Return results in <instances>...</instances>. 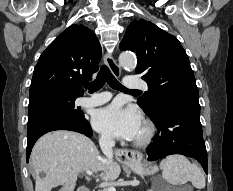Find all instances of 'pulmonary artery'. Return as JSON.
I'll return each mask as SVG.
<instances>
[{
    "instance_id": "1",
    "label": "pulmonary artery",
    "mask_w": 233,
    "mask_h": 191,
    "mask_svg": "<svg viewBox=\"0 0 233 191\" xmlns=\"http://www.w3.org/2000/svg\"><path fill=\"white\" fill-rule=\"evenodd\" d=\"M124 85L129 89H147V84L137 76H127L124 81ZM111 98V94L108 92L90 94L78 99V104L84 107H95L108 102Z\"/></svg>"
}]
</instances>
